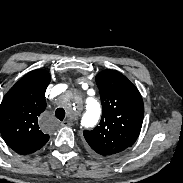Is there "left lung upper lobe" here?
Wrapping results in <instances>:
<instances>
[{
	"mask_svg": "<svg viewBox=\"0 0 183 183\" xmlns=\"http://www.w3.org/2000/svg\"><path fill=\"white\" fill-rule=\"evenodd\" d=\"M102 103V118L84 137L96 153L117 154L137 140L143 122L144 105L138 89L124 75L104 70L96 78Z\"/></svg>",
	"mask_w": 183,
	"mask_h": 183,
	"instance_id": "1",
	"label": "left lung upper lobe"
}]
</instances>
